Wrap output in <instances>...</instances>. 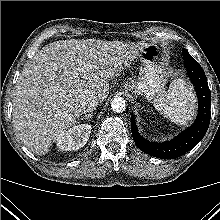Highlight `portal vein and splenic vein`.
Here are the masks:
<instances>
[{"label":"portal vein and splenic vein","mask_w":220,"mask_h":220,"mask_svg":"<svg viewBox=\"0 0 220 220\" xmlns=\"http://www.w3.org/2000/svg\"><path fill=\"white\" fill-rule=\"evenodd\" d=\"M78 71H77V69L76 70H74V74H73V76L75 77V78H77L78 77Z\"/></svg>","instance_id":"18ae733b"}]
</instances>
